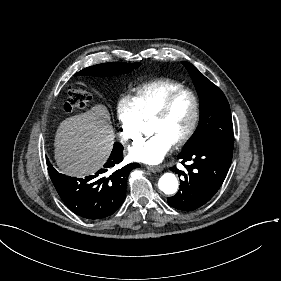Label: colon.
<instances>
[{
    "label": "colon",
    "mask_w": 281,
    "mask_h": 281,
    "mask_svg": "<svg viewBox=\"0 0 281 281\" xmlns=\"http://www.w3.org/2000/svg\"><path fill=\"white\" fill-rule=\"evenodd\" d=\"M91 95L83 90L71 88L68 92V99L64 103V110L68 113L88 105Z\"/></svg>",
    "instance_id": "5ec220e1"
}]
</instances>
